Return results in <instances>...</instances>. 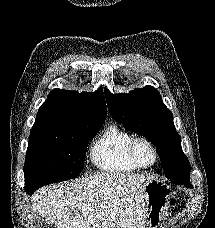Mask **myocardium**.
Instances as JSON below:
<instances>
[{"label": "myocardium", "instance_id": "1", "mask_svg": "<svg viewBox=\"0 0 215 228\" xmlns=\"http://www.w3.org/2000/svg\"><path fill=\"white\" fill-rule=\"evenodd\" d=\"M146 145L147 147L150 148V150L152 151L153 155H154V161L151 165L149 166H144L142 164H140V162L137 159V149L140 145ZM128 158L129 161L131 162V164L137 168V169H141V170H149L152 169L153 167L156 166V164L158 163L159 160V152L155 146V144L149 140L148 138L145 137H135L129 144L128 146Z\"/></svg>", "mask_w": 215, "mask_h": 228}]
</instances>
